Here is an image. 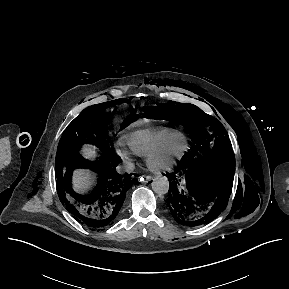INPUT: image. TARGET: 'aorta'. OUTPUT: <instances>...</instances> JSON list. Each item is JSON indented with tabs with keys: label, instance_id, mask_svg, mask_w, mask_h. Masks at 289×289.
<instances>
[{
	"label": "aorta",
	"instance_id": "1",
	"mask_svg": "<svg viewBox=\"0 0 289 289\" xmlns=\"http://www.w3.org/2000/svg\"><path fill=\"white\" fill-rule=\"evenodd\" d=\"M152 190L159 195H164L168 193L169 190V181L167 177H156L151 183Z\"/></svg>",
	"mask_w": 289,
	"mask_h": 289
}]
</instances>
